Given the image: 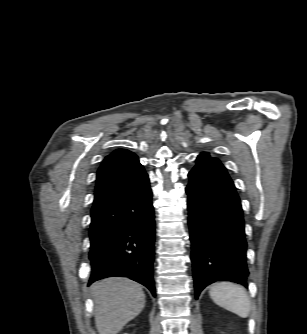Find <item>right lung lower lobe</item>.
Masks as SVG:
<instances>
[{
  "label": "right lung lower lobe",
  "mask_w": 307,
  "mask_h": 334,
  "mask_svg": "<svg viewBox=\"0 0 307 334\" xmlns=\"http://www.w3.org/2000/svg\"><path fill=\"white\" fill-rule=\"evenodd\" d=\"M148 175L91 210L89 285L106 277H128L155 296V221Z\"/></svg>",
  "instance_id": "obj_1"
}]
</instances>
